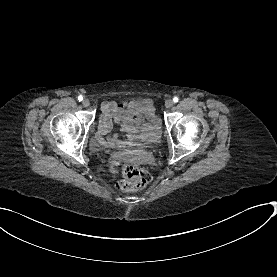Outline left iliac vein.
Instances as JSON below:
<instances>
[{"mask_svg": "<svg viewBox=\"0 0 277 277\" xmlns=\"http://www.w3.org/2000/svg\"><path fill=\"white\" fill-rule=\"evenodd\" d=\"M173 105H174V102H173V100H171V99H168V100L165 102L166 108H171Z\"/></svg>", "mask_w": 277, "mask_h": 277, "instance_id": "4c4485c4", "label": "left iliac vein"}]
</instances>
